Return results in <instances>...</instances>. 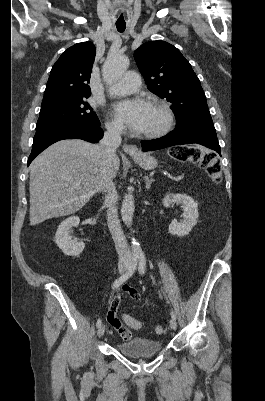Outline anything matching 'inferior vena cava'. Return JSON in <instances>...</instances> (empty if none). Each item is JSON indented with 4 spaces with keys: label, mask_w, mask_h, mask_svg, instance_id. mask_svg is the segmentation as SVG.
Returning <instances> with one entry per match:
<instances>
[{
    "label": "inferior vena cava",
    "mask_w": 265,
    "mask_h": 401,
    "mask_svg": "<svg viewBox=\"0 0 265 401\" xmlns=\"http://www.w3.org/2000/svg\"><path fill=\"white\" fill-rule=\"evenodd\" d=\"M106 128L107 130L104 132L102 140H100V146L103 148V156L106 160V166L99 178L96 192H106L104 205L108 207V227L113 237L119 259H131L132 255L129 251L125 235L120 227L118 219V209L116 207L118 194L112 180L113 160L116 156V148L121 144L122 126H118V124H107Z\"/></svg>",
    "instance_id": "1"
}]
</instances>
